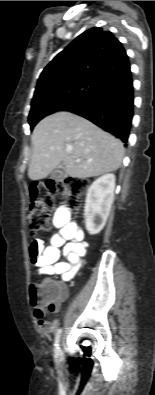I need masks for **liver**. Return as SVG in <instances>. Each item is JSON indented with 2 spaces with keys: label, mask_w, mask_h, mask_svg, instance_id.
Returning <instances> with one entry per match:
<instances>
[{
  "label": "liver",
  "mask_w": 155,
  "mask_h": 395,
  "mask_svg": "<svg viewBox=\"0 0 155 395\" xmlns=\"http://www.w3.org/2000/svg\"><path fill=\"white\" fill-rule=\"evenodd\" d=\"M31 180L46 178L60 163L73 178H89L116 171L124 156L123 143L89 120L70 112L42 119L32 134ZM80 158V162L76 159Z\"/></svg>",
  "instance_id": "obj_1"
}]
</instances>
